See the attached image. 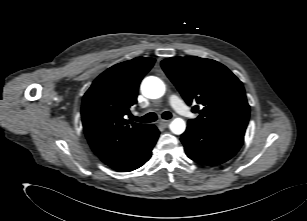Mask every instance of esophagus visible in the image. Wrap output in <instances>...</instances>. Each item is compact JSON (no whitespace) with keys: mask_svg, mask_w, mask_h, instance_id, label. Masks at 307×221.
<instances>
[{"mask_svg":"<svg viewBox=\"0 0 307 221\" xmlns=\"http://www.w3.org/2000/svg\"><path fill=\"white\" fill-rule=\"evenodd\" d=\"M170 123V120H161L159 122V125L162 126V127H167Z\"/></svg>","mask_w":307,"mask_h":221,"instance_id":"obj_1","label":"esophagus"}]
</instances>
